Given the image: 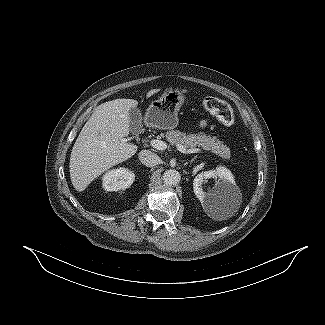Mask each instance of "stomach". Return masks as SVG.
Listing matches in <instances>:
<instances>
[{
    "label": "stomach",
    "instance_id": "stomach-1",
    "mask_svg": "<svg viewBox=\"0 0 325 325\" xmlns=\"http://www.w3.org/2000/svg\"><path fill=\"white\" fill-rule=\"evenodd\" d=\"M185 101L178 89H167L152 101L145 114V123L159 129H173L178 125V112Z\"/></svg>",
    "mask_w": 325,
    "mask_h": 325
}]
</instances>
